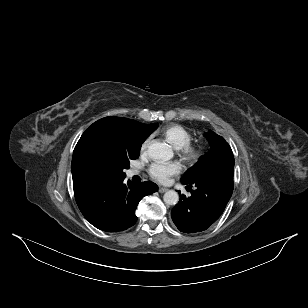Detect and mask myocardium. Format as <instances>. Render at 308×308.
Wrapping results in <instances>:
<instances>
[{"label":"myocardium","instance_id":"obj_1","mask_svg":"<svg viewBox=\"0 0 308 308\" xmlns=\"http://www.w3.org/2000/svg\"><path fill=\"white\" fill-rule=\"evenodd\" d=\"M203 147L199 142H188L179 149V155L187 164L196 163L202 156Z\"/></svg>","mask_w":308,"mask_h":308}]
</instances>
